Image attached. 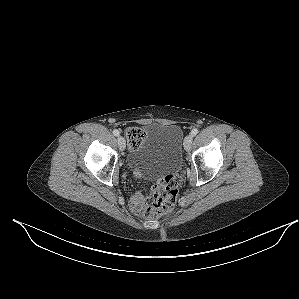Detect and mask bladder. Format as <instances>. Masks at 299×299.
<instances>
[{
	"label": "bladder",
	"mask_w": 299,
	"mask_h": 299,
	"mask_svg": "<svg viewBox=\"0 0 299 299\" xmlns=\"http://www.w3.org/2000/svg\"><path fill=\"white\" fill-rule=\"evenodd\" d=\"M181 128L175 124L151 123L138 148L133 150L128 163L147 177H160L176 171L182 164Z\"/></svg>",
	"instance_id": "obj_1"
}]
</instances>
